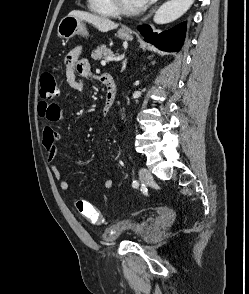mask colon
Returning a JSON list of instances; mask_svg holds the SVG:
<instances>
[{
	"instance_id": "colon-1",
	"label": "colon",
	"mask_w": 249,
	"mask_h": 294,
	"mask_svg": "<svg viewBox=\"0 0 249 294\" xmlns=\"http://www.w3.org/2000/svg\"><path fill=\"white\" fill-rule=\"evenodd\" d=\"M58 84L55 76L46 72L40 78V97L43 100H51L58 94ZM76 209L83 217H85L93 225H101L103 217L101 213L88 201L78 200Z\"/></svg>"
}]
</instances>
